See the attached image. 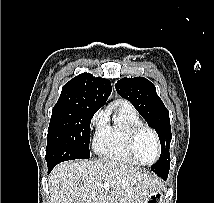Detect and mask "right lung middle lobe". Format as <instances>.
Returning <instances> with one entry per match:
<instances>
[{
	"label": "right lung middle lobe",
	"mask_w": 214,
	"mask_h": 203,
	"mask_svg": "<svg viewBox=\"0 0 214 203\" xmlns=\"http://www.w3.org/2000/svg\"><path fill=\"white\" fill-rule=\"evenodd\" d=\"M97 110L85 105L54 106L47 135L48 164L90 158V122Z\"/></svg>",
	"instance_id": "right-lung-middle-lobe-1"
}]
</instances>
